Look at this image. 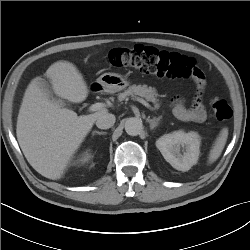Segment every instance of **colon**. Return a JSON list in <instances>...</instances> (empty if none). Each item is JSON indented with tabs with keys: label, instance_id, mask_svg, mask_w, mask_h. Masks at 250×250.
<instances>
[{
	"label": "colon",
	"instance_id": "obj_1",
	"mask_svg": "<svg viewBox=\"0 0 250 250\" xmlns=\"http://www.w3.org/2000/svg\"><path fill=\"white\" fill-rule=\"evenodd\" d=\"M108 62L114 67H132L140 72L161 77L192 79L198 87L196 100L201 99L205 86L203 74L194 59L186 55L136 45L111 50ZM211 109L219 122L229 121L233 114L231 106L224 99H213Z\"/></svg>",
	"mask_w": 250,
	"mask_h": 250
}]
</instances>
